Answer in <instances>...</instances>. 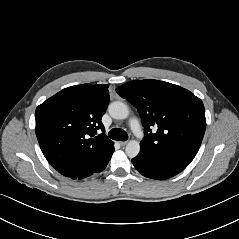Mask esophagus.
<instances>
[{
    "label": "esophagus",
    "instance_id": "1",
    "mask_svg": "<svg viewBox=\"0 0 239 239\" xmlns=\"http://www.w3.org/2000/svg\"><path fill=\"white\" fill-rule=\"evenodd\" d=\"M128 142L127 141H121L120 145L125 146Z\"/></svg>",
    "mask_w": 239,
    "mask_h": 239
}]
</instances>
